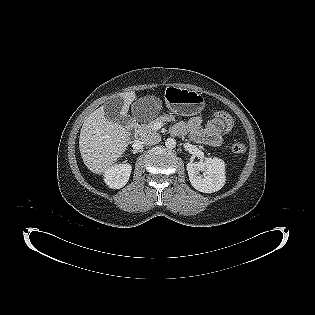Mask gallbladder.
Returning a JSON list of instances; mask_svg holds the SVG:
<instances>
[{
    "instance_id": "obj_1",
    "label": "gallbladder",
    "mask_w": 315,
    "mask_h": 315,
    "mask_svg": "<svg viewBox=\"0 0 315 315\" xmlns=\"http://www.w3.org/2000/svg\"><path fill=\"white\" fill-rule=\"evenodd\" d=\"M123 105L124 101L122 98H114L107 101L103 106L105 118L113 122L122 121L121 112L123 110Z\"/></svg>"
}]
</instances>
